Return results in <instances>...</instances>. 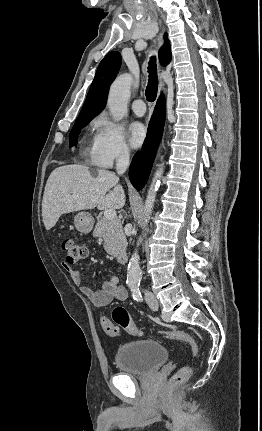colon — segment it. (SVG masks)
Masks as SVG:
<instances>
[{
	"label": "colon",
	"mask_w": 262,
	"mask_h": 431,
	"mask_svg": "<svg viewBox=\"0 0 262 431\" xmlns=\"http://www.w3.org/2000/svg\"><path fill=\"white\" fill-rule=\"evenodd\" d=\"M62 250L65 254L63 263L70 265L77 263L87 255L86 246L72 238H66L61 244ZM112 321L106 317L101 318V326L104 332L109 336H115L122 329L130 335H139L140 330L133 323L130 318L129 312L124 307H117L112 313ZM161 334L165 337L177 339L185 342L190 346L193 357H198L199 346L194 337L186 332L176 329H168L161 331ZM192 369L189 366L181 367L170 379V385L176 386L185 383L191 378Z\"/></svg>",
	"instance_id": "obj_1"
}]
</instances>
